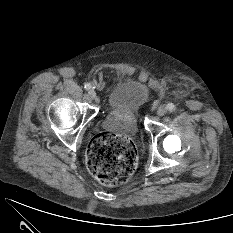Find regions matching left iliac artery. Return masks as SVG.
<instances>
[{
    "mask_svg": "<svg viewBox=\"0 0 233 233\" xmlns=\"http://www.w3.org/2000/svg\"><path fill=\"white\" fill-rule=\"evenodd\" d=\"M167 109H168L170 112H173V111H175L176 107H175V105H174L173 103H169V104L167 105Z\"/></svg>",
    "mask_w": 233,
    "mask_h": 233,
    "instance_id": "obj_1",
    "label": "left iliac artery"
}]
</instances>
